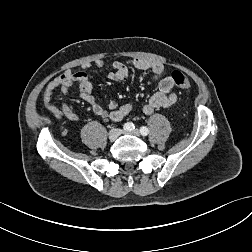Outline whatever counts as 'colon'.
<instances>
[{"instance_id":"5ec220e1","label":"colon","mask_w":252,"mask_h":252,"mask_svg":"<svg viewBox=\"0 0 252 252\" xmlns=\"http://www.w3.org/2000/svg\"><path fill=\"white\" fill-rule=\"evenodd\" d=\"M171 78L174 82V84L182 89V90H189L191 87V80L189 79L188 76H186L185 74L179 72V71H174L171 74Z\"/></svg>"}]
</instances>
